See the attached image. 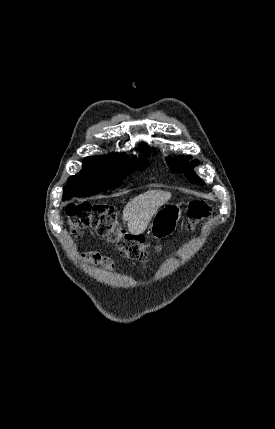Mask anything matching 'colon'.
<instances>
[{
    "instance_id": "5ec220e1",
    "label": "colon",
    "mask_w": 275,
    "mask_h": 429,
    "mask_svg": "<svg viewBox=\"0 0 275 429\" xmlns=\"http://www.w3.org/2000/svg\"><path fill=\"white\" fill-rule=\"evenodd\" d=\"M210 207L202 201H194L188 209V229H195L210 216ZM66 220L74 236L83 229H94L96 233L118 245L120 252L128 259L146 261L148 249L145 241L139 237L121 231L115 220V209L106 203L79 202L70 203L66 209ZM92 263L112 266L110 259L96 253L86 256Z\"/></svg>"
}]
</instances>
